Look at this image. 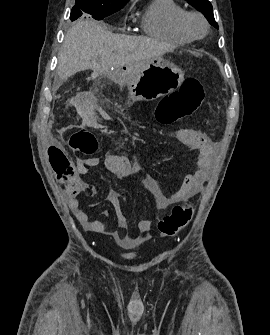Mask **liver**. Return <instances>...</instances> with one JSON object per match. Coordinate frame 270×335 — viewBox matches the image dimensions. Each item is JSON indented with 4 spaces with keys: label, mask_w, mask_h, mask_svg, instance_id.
Returning a JSON list of instances; mask_svg holds the SVG:
<instances>
[{
    "label": "liver",
    "mask_w": 270,
    "mask_h": 335,
    "mask_svg": "<svg viewBox=\"0 0 270 335\" xmlns=\"http://www.w3.org/2000/svg\"><path fill=\"white\" fill-rule=\"evenodd\" d=\"M173 48L153 38L112 34L95 22L79 20L64 38L58 58V76L66 80L81 70L109 72L111 68L126 66L130 78H135L153 58H160Z\"/></svg>",
    "instance_id": "obj_1"
}]
</instances>
